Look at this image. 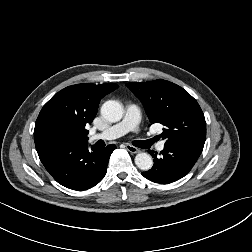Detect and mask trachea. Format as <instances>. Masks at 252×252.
<instances>
[{"label":"trachea","mask_w":252,"mask_h":252,"mask_svg":"<svg viewBox=\"0 0 252 252\" xmlns=\"http://www.w3.org/2000/svg\"><path fill=\"white\" fill-rule=\"evenodd\" d=\"M156 141L155 138L147 140V141H136L134 142V145L140 148L147 149L149 148L154 142Z\"/></svg>","instance_id":"3493384b"}]
</instances>
